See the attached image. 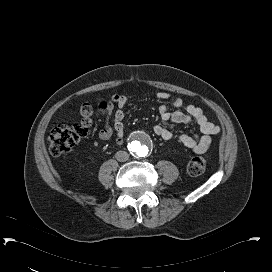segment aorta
Returning a JSON list of instances; mask_svg holds the SVG:
<instances>
[{"label": "aorta", "instance_id": "aorta-1", "mask_svg": "<svg viewBox=\"0 0 272 272\" xmlns=\"http://www.w3.org/2000/svg\"><path fill=\"white\" fill-rule=\"evenodd\" d=\"M152 140L150 136L144 131L135 132L130 142L128 149L130 153L136 158H145L151 151Z\"/></svg>", "mask_w": 272, "mask_h": 272}]
</instances>
